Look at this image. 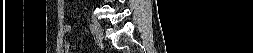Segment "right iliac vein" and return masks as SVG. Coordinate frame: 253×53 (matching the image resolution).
I'll return each instance as SVG.
<instances>
[{
    "mask_svg": "<svg viewBox=\"0 0 253 53\" xmlns=\"http://www.w3.org/2000/svg\"><path fill=\"white\" fill-rule=\"evenodd\" d=\"M93 26H94L95 35L98 38V40L101 42L103 40V33H102L101 25L97 19L93 20Z\"/></svg>",
    "mask_w": 253,
    "mask_h": 53,
    "instance_id": "right-iliac-vein-1",
    "label": "right iliac vein"
}]
</instances>
